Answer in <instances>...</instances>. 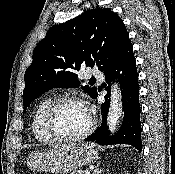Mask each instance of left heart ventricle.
Wrapping results in <instances>:
<instances>
[{
	"label": "left heart ventricle",
	"instance_id": "b2bd125f",
	"mask_svg": "<svg viewBox=\"0 0 175 174\" xmlns=\"http://www.w3.org/2000/svg\"><path fill=\"white\" fill-rule=\"evenodd\" d=\"M89 124V114L80 104H67L57 113L55 125L57 130L67 136L83 132Z\"/></svg>",
	"mask_w": 175,
	"mask_h": 174
}]
</instances>
